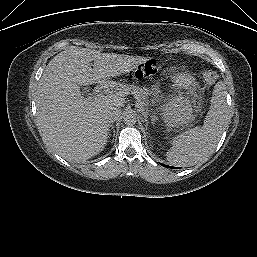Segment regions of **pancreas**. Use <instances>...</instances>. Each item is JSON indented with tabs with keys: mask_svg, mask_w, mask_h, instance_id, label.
<instances>
[{
	"mask_svg": "<svg viewBox=\"0 0 257 257\" xmlns=\"http://www.w3.org/2000/svg\"><path fill=\"white\" fill-rule=\"evenodd\" d=\"M129 91H131L135 98L137 99V107L140 110H146L147 106L149 104L148 95H149V89L147 88H140L138 86H130L127 87Z\"/></svg>",
	"mask_w": 257,
	"mask_h": 257,
	"instance_id": "pancreas-1",
	"label": "pancreas"
}]
</instances>
